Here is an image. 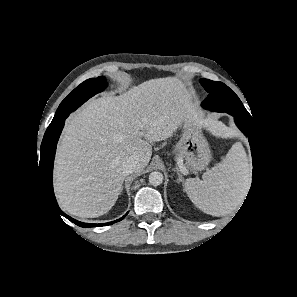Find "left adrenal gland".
I'll return each instance as SVG.
<instances>
[{
	"mask_svg": "<svg viewBox=\"0 0 297 297\" xmlns=\"http://www.w3.org/2000/svg\"><path fill=\"white\" fill-rule=\"evenodd\" d=\"M173 171L176 172L177 175H178L177 182L178 183L182 182L184 184V178H183L182 174L180 173L179 169L178 168H176V169L174 168Z\"/></svg>",
	"mask_w": 297,
	"mask_h": 297,
	"instance_id": "a2214340",
	"label": "left adrenal gland"
}]
</instances>
